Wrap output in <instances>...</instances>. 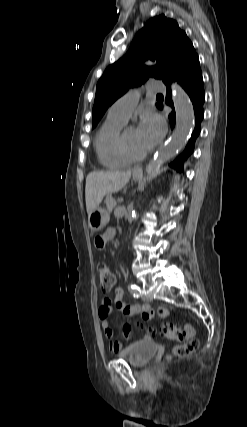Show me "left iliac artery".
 I'll list each match as a JSON object with an SVG mask.
<instances>
[{"instance_id":"1","label":"left iliac artery","mask_w":247,"mask_h":427,"mask_svg":"<svg viewBox=\"0 0 247 427\" xmlns=\"http://www.w3.org/2000/svg\"><path fill=\"white\" fill-rule=\"evenodd\" d=\"M128 289H129L130 293L133 294V296L136 297V298H138L142 294L140 287H138L135 284H131L128 287Z\"/></svg>"}]
</instances>
